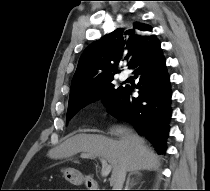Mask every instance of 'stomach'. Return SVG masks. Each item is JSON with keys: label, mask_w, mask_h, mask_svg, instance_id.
Masks as SVG:
<instances>
[{"label": "stomach", "mask_w": 210, "mask_h": 191, "mask_svg": "<svg viewBox=\"0 0 210 191\" xmlns=\"http://www.w3.org/2000/svg\"><path fill=\"white\" fill-rule=\"evenodd\" d=\"M64 178L75 185H81L85 182V177L77 170L72 168H67L64 170Z\"/></svg>", "instance_id": "0dacf381"}]
</instances>
